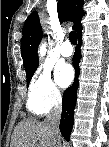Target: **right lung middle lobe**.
Here are the masks:
<instances>
[{
  "label": "right lung middle lobe",
  "mask_w": 109,
  "mask_h": 147,
  "mask_svg": "<svg viewBox=\"0 0 109 147\" xmlns=\"http://www.w3.org/2000/svg\"><path fill=\"white\" fill-rule=\"evenodd\" d=\"M36 68L30 69L29 71L26 72V78H27V83L29 84L34 72L36 71Z\"/></svg>",
  "instance_id": "obj_1"
}]
</instances>
